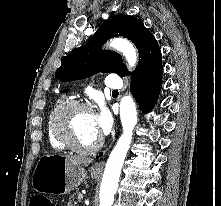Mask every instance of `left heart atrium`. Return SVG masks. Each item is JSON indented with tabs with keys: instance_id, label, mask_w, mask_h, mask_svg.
Segmentation results:
<instances>
[{
	"instance_id": "obj_1",
	"label": "left heart atrium",
	"mask_w": 221,
	"mask_h": 206,
	"mask_svg": "<svg viewBox=\"0 0 221 206\" xmlns=\"http://www.w3.org/2000/svg\"><path fill=\"white\" fill-rule=\"evenodd\" d=\"M94 127L99 135L107 134L111 129V117L106 109L100 107L92 113Z\"/></svg>"
}]
</instances>
